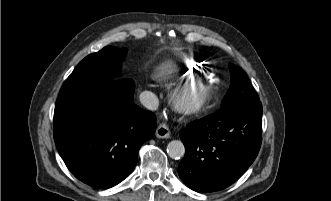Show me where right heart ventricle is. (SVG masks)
Returning a JSON list of instances; mask_svg holds the SVG:
<instances>
[{
  "label": "right heart ventricle",
  "mask_w": 331,
  "mask_h": 201,
  "mask_svg": "<svg viewBox=\"0 0 331 201\" xmlns=\"http://www.w3.org/2000/svg\"><path fill=\"white\" fill-rule=\"evenodd\" d=\"M202 72L201 67L194 65L192 61H183L160 68L155 73V78L161 82L172 81L180 76L197 77Z\"/></svg>",
  "instance_id": "e07e8e85"
}]
</instances>
